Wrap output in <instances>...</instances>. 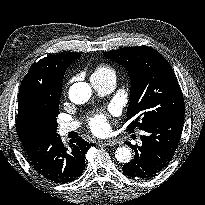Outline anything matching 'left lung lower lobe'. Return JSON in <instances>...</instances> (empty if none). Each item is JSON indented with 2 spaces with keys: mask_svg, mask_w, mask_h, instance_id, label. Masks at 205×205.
Segmentation results:
<instances>
[{
  "mask_svg": "<svg viewBox=\"0 0 205 205\" xmlns=\"http://www.w3.org/2000/svg\"><path fill=\"white\" fill-rule=\"evenodd\" d=\"M184 115H175L146 127L140 137L142 146L127 143L134 150L133 160L123 167L128 177L148 179L171 161L180 141Z\"/></svg>",
  "mask_w": 205,
  "mask_h": 205,
  "instance_id": "obj_1",
  "label": "left lung lower lobe"
}]
</instances>
